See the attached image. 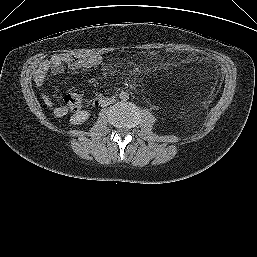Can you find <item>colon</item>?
I'll return each instance as SVG.
<instances>
[{
    "label": "colon",
    "instance_id": "1",
    "mask_svg": "<svg viewBox=\"0 0 257 257\" xmlns=\"http://www.w3.org/2000/svg\"><path fill=\"white\" fill-rule=\"evenodd\" d=\"M167 51L170 53H178V50L172 47L167 48ZM82 101L83 98L78 93L67 94L63 99L64 105L71 111L78 110L82 105Z\"/></svg>",
    "mask_w": 257,
    "mask_h": 257
}]
</instances>
